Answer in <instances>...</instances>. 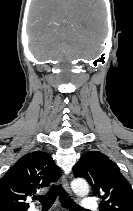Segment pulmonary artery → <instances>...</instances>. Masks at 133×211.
Masks as SVG:
<instances>
[{"mask_svg":"<svg viewBox=\"0 0 133 211\" xmlns=\"http://www.w3.org/2000/svg\"><path fill=\"white\" fill-rule=\"evenodd\" d=\"M82 207L85 210H95L98 207L96 200L92 197H85L82 200Z\"/></svg>","mask_w":133,"mask_h":211,"instance_id":"pulmonary-artery-1","label":"pulmonary artery"}]
</instances>
